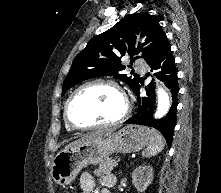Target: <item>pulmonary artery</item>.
Listing matches in <instances>:
<instances>
[{
    "instance_id": "pulmonary-artery-1",
    "label": "pulmonary artery",
    "mask_w": 221,
    "mask_h": 193,
    "mask_svg": "<svg viewBox=\"0 0 221 193\" xmlns=\"http://www.w3.org/2000/svg\"><path fill=\"white\" fill-rule=\"evenodd\" d=\"M135 65H136V69L138 70V71H140L141 73H144L145 71H146V65L145 64H143V63H141V61H136L135 62Z\"/></svg>"
}]
</instances>
